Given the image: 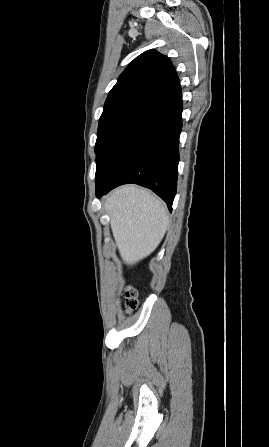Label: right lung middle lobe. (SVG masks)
<instances>
[{
    "label": "right lung middle lobe",
    "mask_w": 269,
    "mask_h": 447,
    "mask_svg": "<svg viewBox=\"0 0 269 447\" xmlns=\"http://www.w3.org/2000/svg\"><path fill=\"white\" fill-rule=\"evenodd\" d=\"M136 109L125 108L103 114L99 120L97 140L95 145V153L97 156L102 152L103 147L122 120Z\"/></svg>",
    "instance_id": "obj_1"
}]
</instances>
